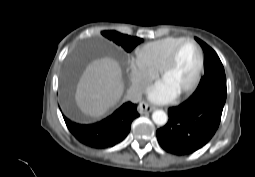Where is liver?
Wrapping results in <instances>:
<instances>
[{"label":"liver","mask_w":255,"mask_h":177,"mask_svg":"<svg viewBox=\"0 0 255 177\" xmlns=\"http://www.w3.org/2000/svg\"><path fill=\"white\" fill-rule=\"evenodd\" d=\"M123 92L118 62L104 57L92 61L84 70L76 87L75 101L82 113L99 118L119 102Z\"/></svg>","instance_id":"6515ba94"}]
</instances>
